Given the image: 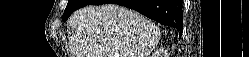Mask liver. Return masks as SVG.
Listing matches in <instances>:
<instances>
[{"instance_id": "6515ba94", "label": "liver", "mask_w": 249, "mask_h": 57, "mask_svg": "<svg viewBox=\"0 0 249 57\" xmlns=\"http://www.w3.org/2000/svg\"><path fill=\"white\" fill-rule=\"evenodd\" d=\"M70 25L73 57H148L160 39L155 23L116 4L79 9Z\"/></svg>"}]
</instances>
